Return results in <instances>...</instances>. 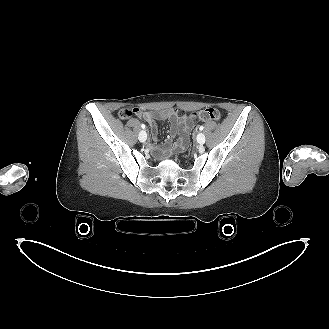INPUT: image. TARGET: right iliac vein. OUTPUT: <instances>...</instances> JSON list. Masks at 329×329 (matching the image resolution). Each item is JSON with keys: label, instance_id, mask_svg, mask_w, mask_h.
Returning a JSON list of instances; mask_svg holds the SVG:
<instances>
[{"label": "right iliac vein", "instance_id": "63e3f726", "mask_svg": "<svg viewBox=\"0 0 329 329\" xmlns=\"http://www.w3.org/2000/svg\"><path fill=\"white\" fill-rule=\"evenodd\" d=\"M138 139H139L140 142H145L146 139H147L146 131L142 130L138 135Z\"/></svg>", "mask_w": 329, "mask_h": 329}]
</instances>
